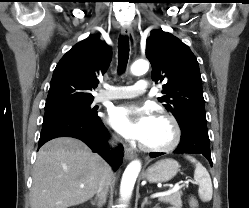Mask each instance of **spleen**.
Returning a JSON list of instances; mask_svg holds the SVG:
<instances>
[{"instance_id": "obj_1", "label": "spleen", "mask_w": 249, "mask_h": 208, "mask_svg": "<svg viewBox=\"0 0 249 208\" xmlns=\"http://www.w3.org/2000/svg\"><path fill=\"white\" fill-rule=\"evenodd\" d=\"M187 159L195 164L194 179L199 185L198 194L202 201H210L212 199L213 188L210 175L206 168L195 158L187 156Z\"/></svg>"}]
</instances>
